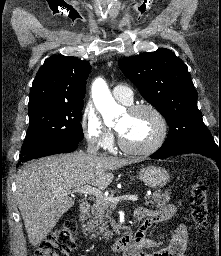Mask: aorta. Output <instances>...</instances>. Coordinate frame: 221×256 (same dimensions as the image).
Instances as JSON below:
<instances>
[{"label": "aorta", "instance_id": "obj_1", "mask_svg": "<svg viewBox=\"0 0 221 256\" xmlns=\"http://www.w3.org/2000/svg\"><path fill=\"white\" fill-rule=\"evenodd\" d=\"M92 98L96 108L102 114L105 121H111L121 111V107L112 97L106 82L97 78L92 85Z\"/></svg>", "mask_w": 221, "mask_h": 256}]
</instances>
